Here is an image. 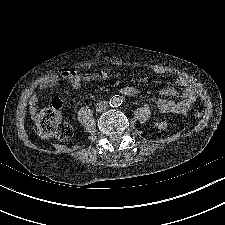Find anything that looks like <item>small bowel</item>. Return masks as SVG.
Here are the masks:
<instances>
[{"label":"small bowel","mask_w":225,"mask_h":225,"mask_svg":"<svg viewBox=\"0 0 225 225\" xmlns=\"http://www.w3.org/2000/svg\"><path fill=\"white\" fill-rule=\"evenodd\" d=\"M157 73H163V70L158 68L156 69ZM93 77L90 75H77L72 74L69 77V82L73 87H79L84 80H90ZM59 82V78L57 76H51L46 78L39 86V89H43L46 87H52ZM178 84L185 87V92L183 97L178 102L169 101L166 99H158L157 107L163 113L168 112H183L187 109L190 101L193 98V92L190 87L187 86V81L184 77H179L177 80ZM122 93L125 95H135L137 93V89L132 86H127L122 89ZM161 94L163 96H174L177 94V91L173 87H166L161 90ZM30 102L33 106L37 105L39 102V95L37 92L33 93L30 97Z\"/></svg>","instance_id":"obj_1"}]
</instances>
